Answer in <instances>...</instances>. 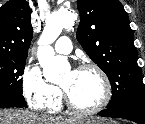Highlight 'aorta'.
Segmentation results:
<instances>
[{
	"mask_svg": "<svg viewBox=\"0 0 145 124\" xmlns=\"http://www.w3.org/2000/svg\"><path fill=\"white\" fill-rule=\"evenodd\" d=\"M72 23L73 16L69 13L55 12L46 17L45 27L38 40L37 57L43 69V75L48 82H59L62 73L70 69L67 58L55 56L51 44L59 37L62 29Z\"/></svg>",
	"mask_w": 145,
	"mask_h": 124,
	"instance_id": "aorta-1",
	"label": "aorta"
}]
</instances>
